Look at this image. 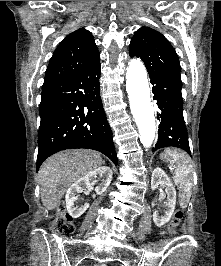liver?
<instances>
[{"mask_svg":"<svg viewBox=\"0 0 221 266\" xmlns=\"http://www.w3.org/2000/svg\"><path fill=\"white\" fill-rule=\"evenodd\" d=\"M102 164L100 153L88 149L62 151L48 158L38 173L43 205L55 209L72 183Z\"/></svg>","mask_w":221,"mask_h":266,"instance_id":"6515ba94","label":"liver"}]
</instances>
